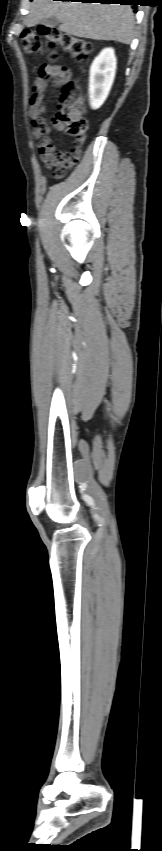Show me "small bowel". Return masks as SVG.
<instances>
[{
    "label": "small bowel",
    "instance_id": "c3829d8e",
    "mask_svg": "<svg viewBox=\"0 0 162 851\" xmlns=\"http://www.w3.org/2000/svg\"><path fill=\"white\" fill-rule=\"evenodd\" d=\"M70 78L71 73L67 67L44 64L40 67L39 77L36 78L33 84V93L30 99V115L32 117L33 126L32 133L33 137L38 141L37 147L40 159L49 169H55L65 162L69 153H65L57 149L54 145V139L50 134V128L43 117L47 111L43 102L44 94L49 80H52L56 87H61L69 82ZM53 123L58 130H63V128L57 123L56 119H54Z\"/></svg>",
    "mask_w": 162,
    "mask_h": 851
}]
</instances>
